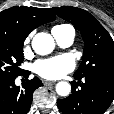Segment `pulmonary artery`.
<instances>
[{
    "mask_svg": "<svg viewBox=\"0 0 114 114\" xmlns=\"http://www.w3.org/2000/svg\"><path fill=\"white\" fill-rule=\"evenodd\" d=\"M52 34L58 43L62 47H68L73 43L75 31L70 25H66L63 28L52 29Z\"/></svg>",
    "mask_w": 114,
    "mask_h": 114,
    "instance_id": "pulmonary-artery-1",
    "label": "pulmonary artery"
}]
</instances>
